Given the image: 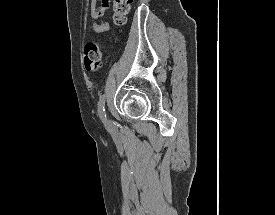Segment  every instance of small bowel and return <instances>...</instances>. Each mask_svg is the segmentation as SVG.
I'll use <instances>...</instances> for the list:
<instances>
[{"label": "small bowel", "mask_w": 275, "mask_h": 215, "mask_svg": "<svg viewBox=\"0 0 275 215\" xmlns=\"http://www.w3.org/2000/svg\"><path fill=\"white\" fill-rule=\"evenodd\" d=\"M96 1L97 0H91V16L94 19L91 30L95 34L100 35L108 32L110 29L109 23H103L99 21L105 14V11L109 6L110 0H98L99 2L97 5Z\"/></svg>", "instance_id": "c3829d8e"}]
</instances>
